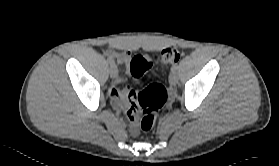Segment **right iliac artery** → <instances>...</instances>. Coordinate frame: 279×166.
<instances>
[{
    "instance_id": "82829eb1",
    "label": "right iliac artery",
    "mask_w": 279,
    "mask_h": 166,
    "mask_svg": "<svg viewBox=\"0 0 279 166\" xmlns=\"http://www.w3.org/2000/svg\"><path fill=\"white\" fill-rule=\"evenodd\" d=\"M107 61L111 66L115 65V61L112 58H108Z\"/></svg>"
}]
</instances>
